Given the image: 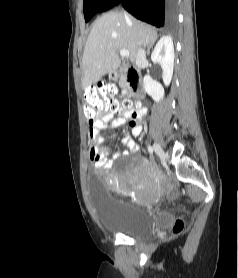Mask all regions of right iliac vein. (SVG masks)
<instances>
[{
    "mask_svg": "<svg viewBox=\"0 0 238 278\" xmlns=\"http://www.w3.org/2000/svg\"><path fill=\"white\" fill-rule=\"evenodd\" d=\"M153 148H154L155 153L159 157H161V158L164 157V151L159 143H154Z\"/></svg>",
    "mask_w": 238,
    "mask_h": 278,
    "instance_id": "1",
    "label": "right iliac vein"
}]
</instances>
